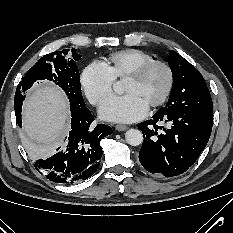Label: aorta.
<instances>
[{"instance_id": "1", "label": "aorta", "mask_w": 233, "mask_h": 233, "mask_svg": "<svg viewBox=\"0 0 233 233\" xmlns=\"http://www.w3.org/2000/svg\"><path fill=\"white\" fill-rule=\"evenodd\" d=\"M114 90L117 93L122 92V84L121 83H116L114 85ZM125 139L128 144L131 146H139L143 142V135L142 132L138 129H129L125 133Z\"/></svg>"}]
</instances>
